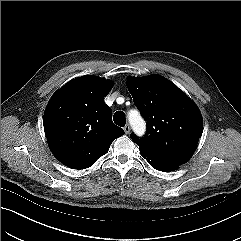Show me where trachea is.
<instances>
[{"mask_svg": "<svg viewBox=\"0 0 241 241\" xmlns=\"http://www.w3.org/2000/svg\"><path fill=\"white\" fill-rule=\"evenodd\" d=\"M113 120L116 125L123 127L126 124L125 114L122 111H117L114 116Z\"/></svg>", "mask_w": 241, "mask_h": 241, "instance_id": "trachea-1", "label": "trachea"}]
</instances>
